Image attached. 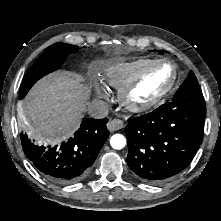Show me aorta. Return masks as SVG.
<instances>
[{"label": "aorta", "instance_id": "obj_1", "mask_svg": "<svg viewBox=\"0 0 221 221\" xmlns=\"http://www.w3.org/2000/svg\"><path fill=\"white\" fill-rule=\"evenodd\" d=\"M110 145L112 148L120 150L125 147L126 139L122 134H114L110 138Z\"/></svg>", "mask_w": 221, "mask_h": 221}]
</instances>
